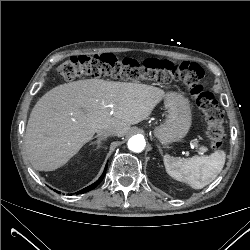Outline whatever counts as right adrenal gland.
I'll list each match as a JSON object with an SVG mask.
<instances>
[{"label":"right adrenal gland","mask_w":250,"mask_h":250,"mask_svg":"<svg viewBox=\"0 0 250 250\" xmlns=\"http://www.w3.org/2000/svg\"><path fill=\"white\" fill-rule=\"evenodd\" d=\"M107 137H99L96 141H93L90 143V145L97 144L96 149H99L101 147L102 141L106 140Z\"/></svg>","instance_id":"right-adrenal-gland-1"}]
</instances>
